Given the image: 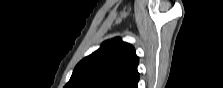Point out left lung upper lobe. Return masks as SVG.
<instances>
[{
	"mask_svg": "<svg viewBox=\"0 0 223 88\" xmlns=\"http://www.w3.org/2000/svg\"><path fill=\"white\" fill-rule=\"evenodd\" d=\"M138 63L134 47L114 38L77 64L65 88H138Z\"/></svg>",
	"mask_w": 223,
	"mask_h": 88,
	"instance_id": "obj_1",
	"label": "left lung upper lobe"
}]
</instances>
